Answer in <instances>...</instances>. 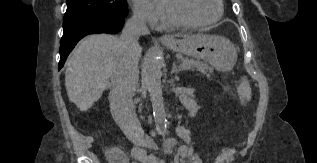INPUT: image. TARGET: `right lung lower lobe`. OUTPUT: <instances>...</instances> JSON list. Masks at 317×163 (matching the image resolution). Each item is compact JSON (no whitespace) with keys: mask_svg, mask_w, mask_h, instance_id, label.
I'll list each match as a JSON object with an SVG mask.
<instances>
[{"mask_svg":"<svg viewBox=\"0 0 317 163\" xmlns=\"http://www.w3.org/2000/svg\"><path fill=\"white\" fill-rule=\"evenodd\" d=\"M125 17L107 15L88 20L63 31L60 45L59 70L63 67L67 56L77 42L88 34L118 33L124 24Z\"/></svg>","mask_w":317,"mask_h":163,"instance_id":"obj_1","label":"right lung lower lobe"}]
</instances>
